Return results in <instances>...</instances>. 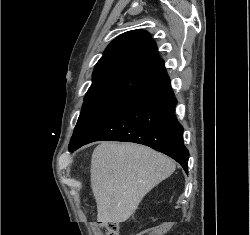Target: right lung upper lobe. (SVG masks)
I'll use <instances>...</instances> for the list:
<instances>
[{"label": "right lung upper lobe", "instance_id": "cb5924a9", "mask_svg": "<svg viewBox=\"0 0 250 235\" xmlns=\"http://www.w3.org/2000/svg\"><path fill=\"white\" fill-rule=\"evenodd\" d=\"M166 72L156 43L144 30L128 31L106 48L93 71L85 98L97 95H133Z\"/></svg>", "mask_w": 250, "mask_h": 235}]
</instances>
